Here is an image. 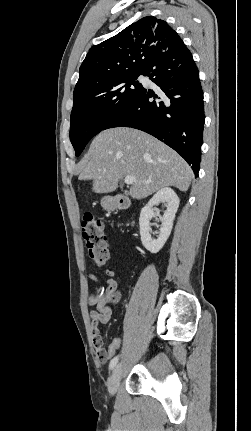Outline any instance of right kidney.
<instances>
[{
    "mask_svg": "<svg viewBox=\"0 0 251 431\" xmlns=\"http://www.w3.org/2000/svg\"><path fill=\"white\" fill-rule=\"evenodd\" d=\"M159 203L165 204L166 211L160 218L162 227L160 229L159 236L157 239H154L151 237L150 220L155 214L159 213L158 211L155 213L153 209V206L158 205ZM178 207L179 198L177 194L171 188L163 187L156 192L148 204L142 209L139 218L140 236L143 246L149 252H159L166 243L173 228V221Z\"/></svg>",
    "mask_w": 251,
    "mask_h": 431,
    "instance_id": "right-kidney-1",
    "label": "right kidney"
}]
</instances>
